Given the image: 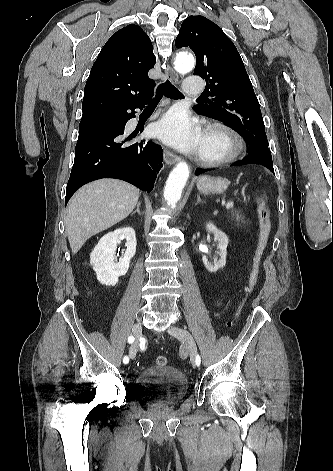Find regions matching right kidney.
Instances as JSON below:
<instances>
[{
  "instance_id": "ca27d5eb",
  "label": "right kidney",
  "mask_w": 333,
  "mask_h": 471,
  "mask_svg": "<svg viewBox=\"0 0 333 471\" xmlns=\"http://www.w3.org/2000/svg\"><path fill=\"white\" fill-rule=\"evenodd\" d=\"M126 240V252L117 262L115 251L121 240ZM136 235L133 228H120L104 235L90 255V264L97 280L106 286H114L120 276L126 275L130 260L136 253Z\"/></svg>"
}]
</instances>
